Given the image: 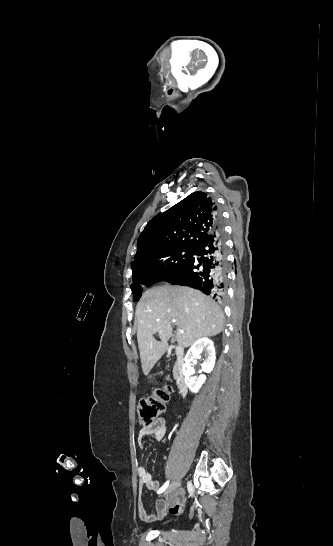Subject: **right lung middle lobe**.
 I'll return each instance as SVG.
<instances>
[{"label":"right lung middle lobe","mask_w":333,"mask_h":546,"mask_svg":"<svg viewBox=\"0 0 333 546\" xmlns=\"http://www.w3.org/2000/svg\"><path fill=\"white\" fill-rule=\"evenodd\" d=\"M192 253L193 247L168 250L144 265L142 270L133 273V283L131 285L133 301L136 302L141 297V284L149 287L163 281L185 263L191 257Z\"/></svg>","instance_id":"right-lung-middle-lobe-1"}]
</instances>
